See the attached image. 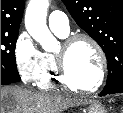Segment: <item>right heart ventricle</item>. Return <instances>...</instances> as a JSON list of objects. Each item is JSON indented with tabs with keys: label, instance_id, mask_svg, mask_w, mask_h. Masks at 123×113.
<instances>
[{
	"label": "right heart ventricle",
	"instance_id": "obj_1",
	"mask_svg": "<svg viewBox=\"0 0 123 113\" xmlns=\"http://www.w3.org/2000/svg\"><path fill=\"white\" fill-rule=\"evenodd\" d=\"M56 34L61 38H65L67 36V34ZM59 84L62 83L58 77L54 55L49 52L42 53L41 72L37 86L43 90H50Z\"/></svg>",
	"mask_w": 123,
	"mask_h": 113
}]
</instances>
